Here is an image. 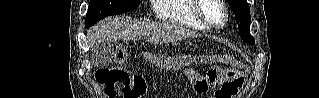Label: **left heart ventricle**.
<instances>
[{"instance_id":"obj_1","label":"left heart ventricle","mask_w":319,"mask_h":98,"mask_svg":"<svg viewBox=\"0 0 319 98\" xmlns=\"http://www.w3.org/2000/svg\"><path fill=\"white\" fill-rule=\"evenodd\" d=\"M202 12L214 24H220L223 21L224 12L215 1H205Z\"/></svg>"}]
</instances>
